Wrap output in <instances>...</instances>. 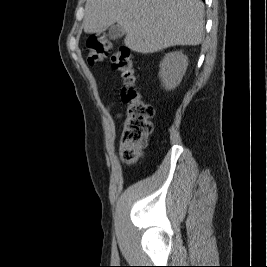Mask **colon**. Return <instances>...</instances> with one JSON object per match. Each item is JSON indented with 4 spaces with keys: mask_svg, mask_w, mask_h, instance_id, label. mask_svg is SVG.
<instances>
[{
    "mask_svg": "<svg viewBox=\"0 0 267 267\" xmlns=\"http://www.w3.org/2000/svg\"><path fill=\"white\" fill-rule=\"evenodd\" d=\"M88 62L97 64L112 54V66L122 80L121 98L125 104V118L119 139V153L123 162L134 164L140 158L152 131L154 108L144 102L136 87L132 53L124 45L111 42L103 35H92L87 40Z\"/></svg>",
    "mask_w": 267,
    "mask_h": 267,
    "instance_id": "1",
    "label": "colon"
}]
</instances>
